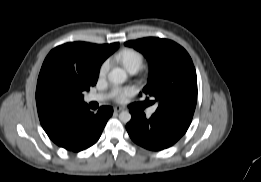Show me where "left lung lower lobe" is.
<instances>
[{
    "label": "left lung lower lobe",
    "mask_w": 261,
    "mask_h": 182,
    "mask_svg": "<svg viewBox=\"0 0 261 182\" xmlns=\"http://www.w3.org/2000/svg\"><path fill=\"white\" fill-rule=\"evenodd\" d=\"M132 118L126 125L131 139L153 151L162 150L176 143L187 131L192 118L154 113L149 119L143 112L130 110Z\"/></svg>",
    "instance_id": "0a47b994"
}]
</instances>
